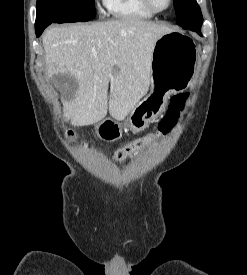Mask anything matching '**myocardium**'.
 <instances>
[{"label": "myocardium", "instance_id": "1", "mask_svg": "<svg viewBox=\"0 0 247 275\" xmlns=\"http://www.w3.org/2000/svg\"><path fill=\"white\" fill-rule=\"evenodd\" d=\"M142 1L145 7L149 9L151 12H153L154 14L164 13L168 11L171 8L172 2H173V0H168V5L164 9H158L154 6L152 0H142Z\"/></svg>", "mask_w": 247, "mask_h": 275}]
</instances>
